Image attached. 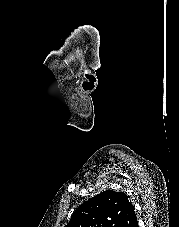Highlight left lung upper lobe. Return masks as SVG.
Returning a JSON list of instances; mask_svg holds the SVG:
<instances>
[{
    "mask_svg": "<svg viewBox=\"0 0 179 227\" xmlns=\"http://www.w3.org/2000/svg\"><path fill=\"white\" fill-rule=\"evenodd\" d=\"M134 206L125 193L103 191L81 204L66 227H137Z\"/></svg>",
    "mask_w": 179,
    "mask_h": 227,
    "instance_id": "obj_1",
    "label": "left lung upper lobe"
}]
</instances>
